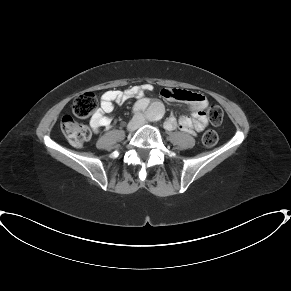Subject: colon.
<instances>
[{
    "label": "colon",
    "instance_id": "5ec220e1",
    "mask_svg": "<svg viewBox=\"0 0 291 291\" xmlns=\"http://www.w3.org/2000/svg\"><path fill=\"white\" fill-rule=\"evenodd\" d=\"M98 106V100L94 93L85 92L78 96L73 103L72 111L76 118H87L93 114ZM206 114L213 124H220L223 119V111L217 104L210 105ZM61 130L69 142L75 146H82L91 138V130L88 126L79 124L73 117L66 116L61 121ZM218 135L215 131H207L202 137V143L206 147L216 144Z\"/></svg>",
    "mask_w": 291,
    "mask_h": 291
}]
</instances>
